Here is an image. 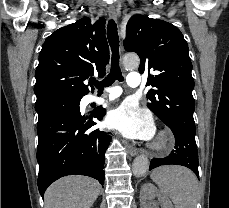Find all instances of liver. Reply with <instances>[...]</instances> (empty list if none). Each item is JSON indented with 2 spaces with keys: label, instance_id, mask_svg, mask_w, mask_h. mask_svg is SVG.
<instances>
[{
  "label": "liver",
  "instance_id": "1",
  "mask_svg": "<svg viewBox=\"0 0 229 208\" xmlns=\"http://www.w3.org/2000/svg\"><path fill=\"white\" fill-rule=\"evenodd\" d=\"M101 186L86 176H66L47 188L45 208H91L100 194Z\"/></svg>",
  "mask_w": 229,
  "mask_h": 208
}]
</instances>
